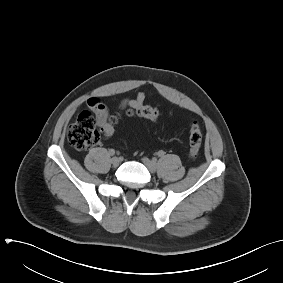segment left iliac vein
<instances>
[{"mask_svg":"<svg viewBox=\"0 0 283 283\" xmlns=\"http://www.w3.org/2000/svg\"><path fill=\"white\" fill-rule=\"evenodd\" d=\"M142 162L143 164L147 167V169L151 172V173H155L156 170H157V164L150 160L149 158L147 157H143L142 158Z\"/></svg>","mask_w":283,"mask_h":283,"instance_id":"obj_1","label":"left iliac vein"}]
</instances>
